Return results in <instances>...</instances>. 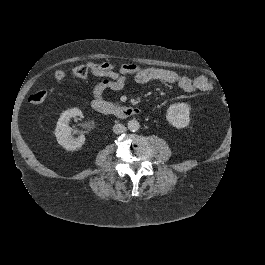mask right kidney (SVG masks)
<instances>
[{"instance_id":"1","label":"right kidney","mask_w":265,"mask_h":265,"mask_svg":"<svg viewBox=\"0 0 265 265\" xmlns=\"http://www.w3.org/2000/svg\"><path fill=\"white\" fill-rule=\"evenodd\" d=\"M83 117L82 111L78 108H72L64 111L55 129V136L58 143L66 150L73 151L81 148L85 142L84 134H80L77 138L72 135V128L69 126V121L72 117Z\"/></svg>"}]
</instances>
